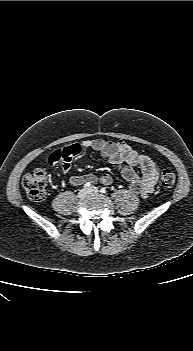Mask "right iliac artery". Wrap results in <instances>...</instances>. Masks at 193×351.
Segmentation results:
<instances>
[{"mask_svg": "<svg viewBox=\"0 0 193 351\" xmlns=\"http://www.w3.org/2000/svg\"><path fill=\"white\" fill-rule=\"evenodd\" d=\"M90 186H91V183L87 182V183L84 184L83 187H84L85 189H87V188H89Z\"/></svg>", "mask_w": 193, "mask_h": 351, "instance_id": "obj_1", "label": "right iliac artery"}]
</instances>
